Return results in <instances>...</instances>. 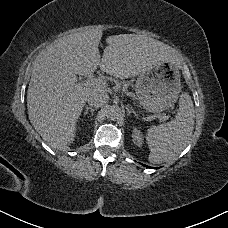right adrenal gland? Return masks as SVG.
Segmentation results:
<instances>
[{
    "label": "right adrenal gland",
    "mask_w": 228,
    "mask_h": 228,
    "mask_svg": "<svg viewBox=\"0 0 228 228\" xmlns=\"http://www.w3.org/2000/svg\"><path fill=\"white\" fill-rule=\"evenodd\" d=\"M95 110H97V108H92V107H86V109H85V111H84V113H83V115L85 116V115H87L88 114V112L90 111L91 112V115H92V117H93V115H94V111Z\"/></svg>",
    "instance_id": "obj_1"
}]
</instances>
